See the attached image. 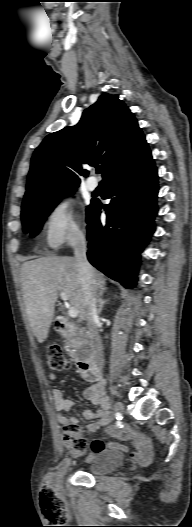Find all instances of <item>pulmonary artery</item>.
I'll list each match as a JSON object with an SVG mask.
<instances>
[{
	"label": "pulmonary artery",
	"mask_w": 192,
	"mask_h": 527,
	"mask_svg": "<svg viewBox=\"0 0 192 527\" xmlns=\"http://www.w3.org/2000/svg\"><path fill=\"white\" fill-rule=\"evenodd\" d=\"M97 186H98V183H97V181H96L95 178L90 177V178L87 179V181H86V187H87V189H88L89 191H94V190H96Z\"/></svg>",
	"instance_id": "obj_1"
}]
</instances>
